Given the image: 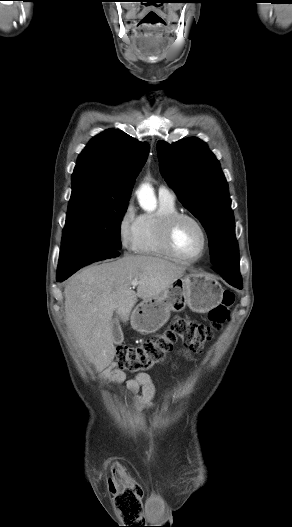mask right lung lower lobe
Returning a JSON list of instances; mask_svg holds the SVG:
<instances>
[{"mask_svg":"<svg viewBox=\"0 0 292 527\" xmlns=\"http://www.w3.org/2000/svg\"><path fill=\"white\" fill-rule=\"evenodd\" d=\"M117 256L119 253L116 250L104 247L63 249L60 251L57 281H64L81 267L90 263Z\"/></svg>","mask_w":292,"mask_h":527,"instance_id":"right-lung-lower-lobe-1","label":"right lung lower lobe"}]
</instances>
